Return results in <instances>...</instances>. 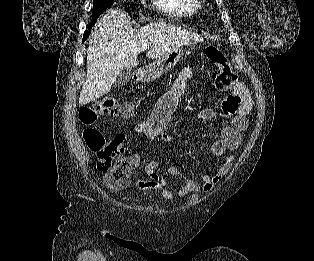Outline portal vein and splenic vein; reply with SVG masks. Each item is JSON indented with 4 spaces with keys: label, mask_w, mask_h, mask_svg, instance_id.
Returning a JSON list of instances; mask_svg holds the SVG:
<instances>
[{
    "label": "portal vein and splenic vein",
    "mask_w": 314,
    "mask_h": 261,
    "mask_svg": "<svg viewBox=\"0 0 314 261\" xmlns=\"http://www.w3.org/2000/svg\"><path fill=\"white\" fill-rule=\"evenodd\" d=\"M148 48H149V46H148L147 44H144V45L141 47V50L144 51V50H146V49H148Z\"/></svg>",
    "instance_id": "1"
}]
</instances>
